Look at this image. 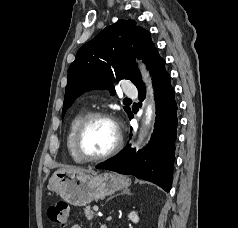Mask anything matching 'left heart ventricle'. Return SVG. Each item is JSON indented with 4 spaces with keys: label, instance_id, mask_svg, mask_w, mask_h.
Returning a JSON list of instances; mask_svg holds the SVG:
<instances>
[{
    "label": "left heart ventricle",
    "instance_id": "b2bd125f",
    "mask_svg": "<svg viewBox=\"0 0 238 228\" xmlns=\"http://www.w3.org/2000/svg\"><path fill=\"white\" fill-rule=\"evenodd\" d=\"M117 133L113 122L95 119L87 127L81 142L83 152L98 156L109 151L116 143Z\"/></svg>",
    "mask_w": 238,
    "mask_h": 228
}]
</instances>
